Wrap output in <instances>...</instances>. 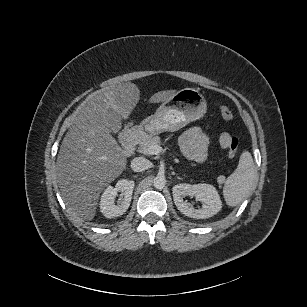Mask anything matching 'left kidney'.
I'll return each instance as SVG.
<instances>
[{
  "label": "left kidney",
  "mask_w": 307,
  "mask_h": 307,
  "mask_svg": "<svg viewBox=\"0 0 307 307\" xmlns=\"http://www.w3.org/2000/svg\"><path fill=\"white\" fill-rule=\"evenodd\" d=\"M188 195L198 199L202 203V207L196 209L184 201ZM173 199L180 212L188 217L198 219L214 216L223 206L217 188L207 183H198L193 186L186 183L176 184L173 187Z\"/></svg>",
  "instance_id": "1"
}]
</instances>
